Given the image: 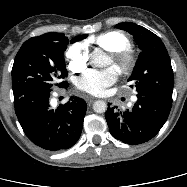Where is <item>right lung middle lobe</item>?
<instances>
[{
  "instance_id": "right-lung-middle-lobe-1",
  "label": "right lung middle lobe",
  "mask_w": 187,
  "mask_h": 187,
  "mask_svg": "<svg viewBox=\"0 0 187 187\" xmlns=\"http://www.w3.org/2000/svg\"><path fill=\"white\" fill-rule=\"evenodd\" d=\"M86 37L76 36L70 42ZM68 43L63 33L52 32L32 37L22 44L12 68L14 99L31 91L51 89L55 82L67 76L63 54ZM66 83L56 85L63 87Z\"/></svg>"
}]
</instances>
